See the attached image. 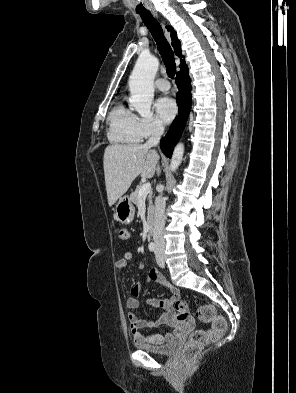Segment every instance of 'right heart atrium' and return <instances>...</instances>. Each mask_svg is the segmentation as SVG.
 Returning a JSON list of instances; mask_svg holds the SVG:
<instances>
[{"instance_id":"d8ad5b80","label":"right heart atrium","mask_w":296,"mask_h":393,"mask_svg":"<svg viewBox=\"0 0 296 393\" xmlns=\"http://www.w3.org/2000/svg\"><path fill=\"white\" fill-rule=\"evenodd\" d=\"M138 128L140 137L143 139L158 136L164 129L157 118H139Z\"/></svg>"}]
</instances>
